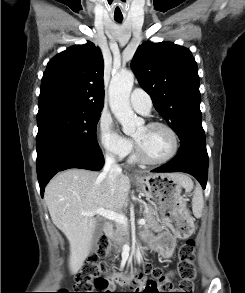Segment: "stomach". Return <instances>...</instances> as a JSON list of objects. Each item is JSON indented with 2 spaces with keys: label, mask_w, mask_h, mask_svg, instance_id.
<instances>
[{
  "label": "stomach",
  "mask_w": 245,
  "mask_h": 293,
  "mask_svg": "<svg viewBox=\"0 0 245 293\" xmlns=\"http://www.w3.org/2000/svg\"><path fill=\"white\" fill-rule=\"evenodd\" d=\"M136 182L147 200L154 206L158 222L171 228L178 236H188L193 227L187 231L179 230L185 220L191 221L186 200L181 195L183 186L171 174H148L137 176ZM174 224L176 227H174ZM149 247L157 250L159 238L152 237Z\"/></svg>",
  "instance_id": "0dacf381"
}]
</instances>
